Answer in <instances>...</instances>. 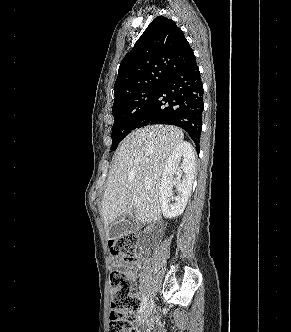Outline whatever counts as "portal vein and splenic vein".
Here are the masks:
<instances>
[{"label": "portal vein and splenic vein", "mask_w": 291, "mask_h": 332, "mask_svg": "<svg viewBox=\"0 0 291 332\" xmlns=\"http://www.w3.org/2000/svg\"><path fill=\"white\" fill-rule=\"evenodd\" d=\"M133 202H134L135 204H139V203H140V200H139L138 198H134V199H133Z\"/></svg>", "instance_id": "18ae733b"}]
</instances>
